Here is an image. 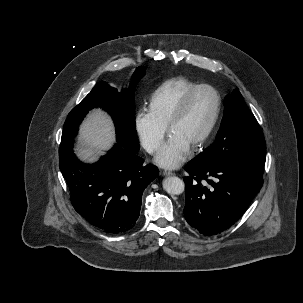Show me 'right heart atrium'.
Instances as JSON below:
<instances>
[{"label": "right heart atrium", "instance_id": "obj_1", "mask_svg": "<svg viewBox=\"0 0 303 303\" xmlns=\"http://www.w3.org/2000/svg\"><path fill=\"white\" fill-rule=\"evenodd\" d=\"M134 129L143 148L154 154L162 145L167 125L161 123L150 110L142 108L134 116Z\"/></svg>", "mask_w": 303, "mask_h": 303}]
</instances>
